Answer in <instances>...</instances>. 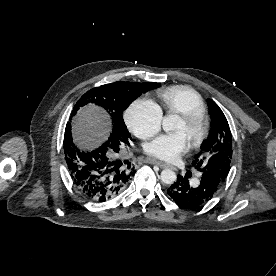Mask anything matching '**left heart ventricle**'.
Wrapping results in <instances>:
<instances>
[{
    "label": "left heart ventricle",
    "instance_id": "b2bd125f",
    "mask_svg": "<svg viewBox=\"0 0 276 276\" xmlns=\"http://www.w3.org/2000/svg\"><path fill=\"white\" fill-rule=\"evenodd\" d=\"M173 131L182 133L186 137L188 143H191L195 135V128L186 125L185 122L180 118L178 119V122Z\"/></svg>",
    "mask_w": 276,
    "mask_h": 276
}]
</instances>
